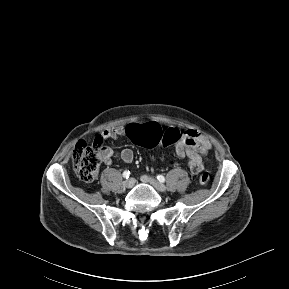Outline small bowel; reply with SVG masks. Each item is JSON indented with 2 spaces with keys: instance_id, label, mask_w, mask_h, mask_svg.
<instances>
[{
  "instance_id": "obj_1",
  "label": "small bowel",
  "mask_w": 289,
  "mask_h": 289,
  "mask_svg": "<svg viewBox=\"0 0 289 289\" xmlns=\"http://www.w3.org/2000/svg\"><path fill=\"white\" fill-rule=\"evenodd\" d=\"M126 133V129L118 126L112 129L104 130L100 133L98 139L106 141L109 139H117ZM211 142L196 130L188 129L182 134L181 140L176 143L175 152L179 158H186L188 166L193 174H198L204 168L203 159L211 150ZM116 156L123 162L130 163L134 158V153L130 148H124L119 153H115L109 147H103L102 161L109 165L112 158Z\"/></svg>"
}]
</instances>
